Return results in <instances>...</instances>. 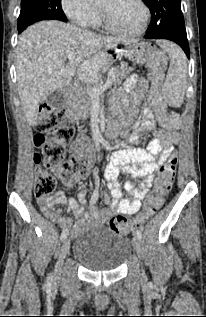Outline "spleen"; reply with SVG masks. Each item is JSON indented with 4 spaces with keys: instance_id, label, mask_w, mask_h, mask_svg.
Listing matches in <instances>:
<instances>
[{
    "instance_id": "1",
    "label": "spleen",
    "mask_w": 206,
    "mask_h": 317,
    "mask_svg": "<svg viewBox=\"0 0 206 317\" xmlns=\"http://www.w3.org/2000/svg\"><path fill=\"white\" fill-rule=\"evenodd\" d=\"M159 46L169 55L170 65L162 86V95L170 106L180 107L187 86V59L183 51L169 41H158Z\"/></svg>"
}]
</instances>
